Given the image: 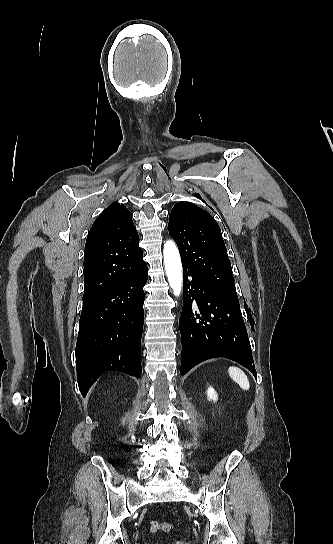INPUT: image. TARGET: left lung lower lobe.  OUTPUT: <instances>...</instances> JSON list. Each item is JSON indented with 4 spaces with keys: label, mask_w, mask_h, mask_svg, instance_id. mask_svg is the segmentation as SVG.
<instances>
[{
    "label": "left lung lower lobe",
    "mask_w": 333,
    "mask_h": 544,
    "mask_svg": "<svg viewBox=\"0 0 333 544\" xmlns=\"http://www.w3.org/2000/svg\"><path fill=\"white\" fill-rule=\"evenodd\" d=\"M183 274L180 374L207 359L225 357L246 367L256 377L240 305L226 299L185 265ZM250 324L253 326L251 321Z\"/></svg>",
    "instance_id": "1"
}]
</instances>
